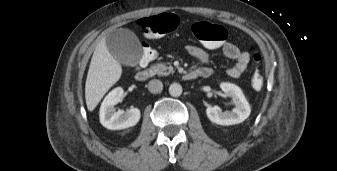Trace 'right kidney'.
Instances as JSON below:
<instances>
[{"label": "right kidney", "mask_w": 337, "mask_h": 171, "mask_svg": "<svg viewBox=\"0 0 337 171\" xmlns=\"http://www.w3.org/2000/svg\"><path fill=\"white\" fill-rule=\"evenodd\" d=\"M123 89H113L103 100L100 107V122L110 130H120L135 126L140 120V110L131 108L124 113L122 110L115 111V105L123 100Z\"/></svg>", "instance_id": "1"}]
</instances>
